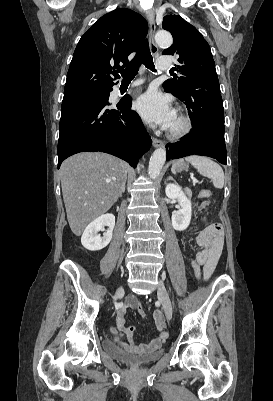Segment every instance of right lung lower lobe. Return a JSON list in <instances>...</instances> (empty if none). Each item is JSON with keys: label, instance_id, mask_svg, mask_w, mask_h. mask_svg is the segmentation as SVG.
<instances>
[{"label": "right lung lower lobe", "instance_id": "right-lung-lower-lobe-1", "mask_svg": "<svg viewBox=\"0 0 273 401\" xmlns=\"http://www.w3.org/2000/svg\"><path fill=\"white\" fill-rule=\"evenodd\" d=\"M130 108L131 98L112 105L107 100L62 109L58 168L67 157L85 151L109 153L136 167L152 141L139 115Z\"/></svg>", "mask_w": 273, "mask_h": 401}]
</instances>
